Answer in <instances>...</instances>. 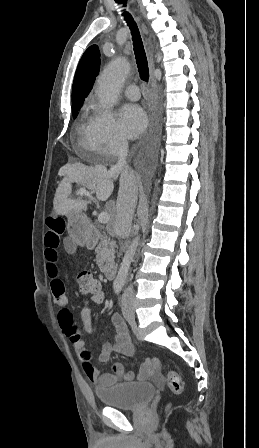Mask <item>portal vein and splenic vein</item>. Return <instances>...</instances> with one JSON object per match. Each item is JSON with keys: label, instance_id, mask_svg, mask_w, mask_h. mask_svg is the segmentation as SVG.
Listing matches in <instances>:
<instances>
[{"label": "portal vein and splenic vein", "instance_id": "1", "mask_svg": "<svg viewBox=\"0 0 259 448\" xmlns=\"http://www.w3.org/2000/svg\"><path fill=\"white\" fill-rule=\"evenodd\" d=\"M109 220L110 216L107 212H102V214H99L98 216V222H100V224H108Z\"/></svg>", "mask_w": 259, "mask_h": 448}]
</instances>
